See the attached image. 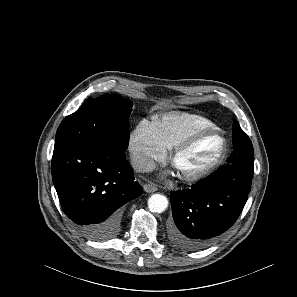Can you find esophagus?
I'll return each instance as SVG.
<instances>
[{"instance_id": "obj_1", "label": "esophagus", "mask_w": 297, "mask_h": 297, "mask_svg": "<svg viewBox=\"0 0 297 297\" xmlns=\"http://www.w3.org/2000/svg\"><path fill=\"white\" fill-rule=\"evenodd\" d=\"M144 191L148 192V193L155 192V191H157V187L152 184H145Z\"/></svg>"}]
</instances>
